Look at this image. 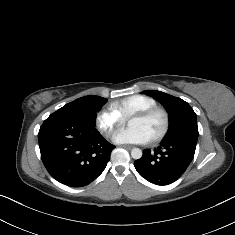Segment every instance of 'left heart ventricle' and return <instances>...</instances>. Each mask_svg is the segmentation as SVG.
<instances>
[{
	"mask_svg": "<svg viewBox=\"0 0 235 235\" xmlns=\"http://www.w3.org/2000/svg\"><path fill=\"white\" fill-rule=\"evenodd\" d=\"M129 126L131 128L141 129L146 133L149 140L158 135L164 126L163 117L159 114H155L149 119L131 118L129 120Z\"/></svg>",
	"mask_w": 235,
	"mask_h": 235,
	"instance_id": "left-heart-ventricle-1",
	"label": "left heart ventricle"
}]
</instances>
